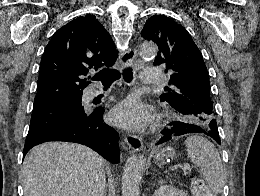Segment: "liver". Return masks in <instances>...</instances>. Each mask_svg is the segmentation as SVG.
I'll return each instance as SVG.
<instances>
[{
    "label": "liver",
    "mask_w": 260,
    "mask_h": 196,
    "mask_svg": "<svg viewBox=\"0 0 260 196\" xmlns=\"http://www.w3.org/2000/svg\"><path fill=\"white\" fill-rule=\"evenodd\" d=\"M24 196H103L104 160L81 144L45 142L32 148L21 168Z\"/></svg>",
    "instance_id": "obj_1"
}]
</instances>
